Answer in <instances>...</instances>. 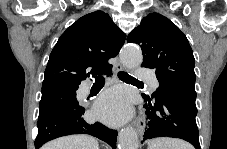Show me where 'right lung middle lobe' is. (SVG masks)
Returning <instances> with one entry per match:
<instances>
[{"label":"right lung middle lobe","instance_id":"dd1d6c3e","mask_svg":"<svg viewBox=\"0 0 227 149\" xmlns=\"http://www.w3.org/2000/svg\"><path fill=\"white\" fill-rule=\"evenodd\" d=\"M78 86L69 84H55L42 88V97L39 104V117H43L54 110L82 108L76 99Z\"/></svg>","mask_w":227,"mask_h":149}]
</instances>
